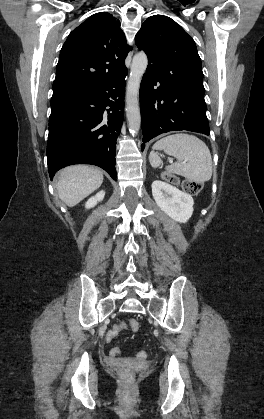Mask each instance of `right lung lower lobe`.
Wrapping results in <instances>:
<instances>
[{
    "mask_svg": "<svg viewBox=\"0 0 264 419\" xmlns=\"http://www.w3.org/2000/svg\"><path fill=\"white\" fill-rule=\"evenodd\" d=\"M126 75L127 70L92 90L52 96L47 143L51 179L65 166L93 164L116 180V140L123 122Z\"/></svg>",
    "mask_w": 264,
    "mask_h": 419,
    "instance_id": "98d812e1",
    "label": "right lung lower lobe"
}]
</instances>
